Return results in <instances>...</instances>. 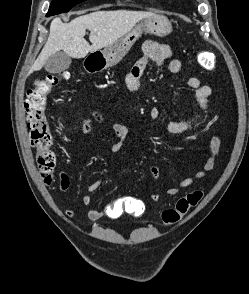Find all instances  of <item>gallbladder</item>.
<instances>
[{
	"label": "gallbladder",
	"instance_id": "bac80fb5",
	"mask_svg": "<svg viewBox=\"0 0 249 294\" xmlns=\"http://www.w3.org/2000/svg\"><path fill=\"white\" fill-rule=\"evenodd\" d=\"M71 64V57L63 51H58L51 55L44 64L47 72L59 74L67 70Z\"/></svg>",
	"mask_w": 249,
	"mask_h": 294
}]
</instances>
